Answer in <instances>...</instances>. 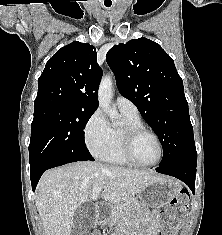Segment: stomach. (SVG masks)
Listing matches in <instances>:
<instances>
[{
  "instance_id": "1",
  "label": "stomach",
  "mask_w": 222,
  "mask_h": 235,
  "mask_svg": "<svg viewBox=\"0 0 222 235\" xmlns=\"http://www.w3.org/2000/svg\"><path fill=\"white\" fill-rule=\"evenodd\" d=\"M181 190L179 181L172 178H158L150 182L144 190L139 193L140 201L135 200L131 208L162 207L175 198Z\"/></svg>"
}]
</instances>
